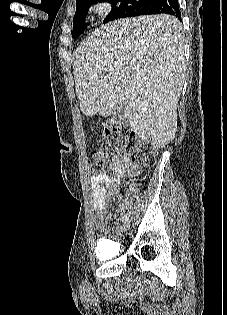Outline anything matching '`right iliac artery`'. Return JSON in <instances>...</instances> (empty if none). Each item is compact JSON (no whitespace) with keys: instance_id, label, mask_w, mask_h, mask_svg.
<instances>
[{"instance_id":"obj_1","label":"right iliac artery","mask_w":227,"mask_h":315,"mask_svg":"<svg viewBox=\"0 0 227 315\" xmlns=\"http://www.w3.org/2000/svg\"><path fill=\"white\" fill-rule=\"evenodd\" d=\"M128 218H129V215L128 214H125V215H123L122 217H121V221H127L128 220Z\"/></svg>"}]
</instances>
